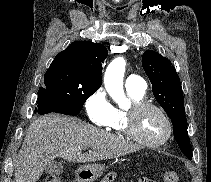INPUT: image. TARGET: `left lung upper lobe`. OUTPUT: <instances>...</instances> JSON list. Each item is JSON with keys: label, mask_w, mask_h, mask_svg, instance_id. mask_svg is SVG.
Segmentation results:
<instances>
[{"label": "left lung upper lobe", "mask_w": 211, "mask_h": 182, "mask_svg": "<svg viewBox=\"0 0 211 182\" xmlns=\"http://www.w3.org/2000/svg\"><path fill=\"white\" fill-rule=\"evenodd\" d=\"M142 66L152 83V91L173 124L174 138L180 150L192 159L187 132L184 97L180 78L171 62L159 53L147 50L142 56Z\"/></svg>", "instance_id": "5c2ea615"}]
</instances>
